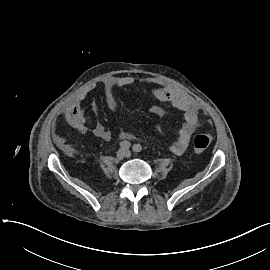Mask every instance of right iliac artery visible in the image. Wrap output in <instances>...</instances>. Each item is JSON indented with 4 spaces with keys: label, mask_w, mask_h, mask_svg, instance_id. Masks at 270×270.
Returning <instances> with one entry per match:
<instances>
[{
    "label": "right iliac artery",
    "mask_w": 270,
    "mask_h": 270,
    "mask_svg": "<svg viewBox=\"0 0 270 270\" xmlns=\"http://www.w3.org/2000/svg\"><path fill=\"white\" fill-rule=\"evenodd\" d=\"M119 146L122 149H129L131 144H130V142L125 140V141L120 142Z\"/></svg>",
    "instance_id": "82829eb1"
}]
</instances>
